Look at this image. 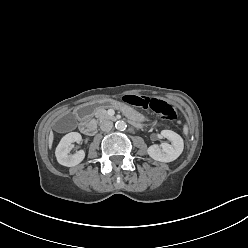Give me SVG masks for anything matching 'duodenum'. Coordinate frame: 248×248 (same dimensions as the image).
Wrapping results in <instances>:
<instances>
[{
    "label": "duodenum",
    "mask_w": 248,
    "mask_h": 248,
    "mask_svg": "<svg viewBox=\"0 0 248 248\" xmlns=\"http://www.w3.org/2000/svg\"><path fill=\"white\" fill-rule=\"evenodd\" d=\"M89 104L81 105L77 110V115L81 119L80 129L85 135H92L96 132V124L91 121H87L86 118L90 115L84 111V108Z\"/></svg>",
    "instance_id": "1"
}]
</instances>
